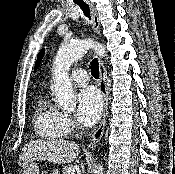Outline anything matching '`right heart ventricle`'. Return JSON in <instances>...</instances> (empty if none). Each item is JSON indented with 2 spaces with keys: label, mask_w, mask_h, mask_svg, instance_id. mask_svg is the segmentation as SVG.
Returning <instances> with one entry per match:
<instances>
[{
  "label": "right heart ventricle",
  "mask_w": 175,
  "mask_h": 174,
  "mask_svg": "<svg viewBox=\"0 0 175 174\" xmlns=\"http://www.w3.org/2000/svg\"><path fill=\"white\" fill-rule=\"evenodd\" d=\"M34 130L39 137L47 140H60L67 135L63 113L45 96L36 103Z\"/></svg>",
  "instance_id": "obj_1"
}]
</instances>
